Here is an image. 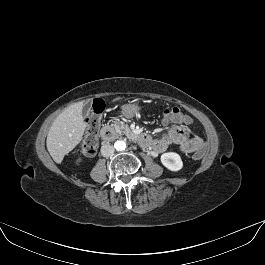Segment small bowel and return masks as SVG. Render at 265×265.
I'll use <instances>...</instances> for the list:
<instances>
[{"label":"small bowel","mask_w":265,"mask_h":265,"mask_svg":"<svg viewBox=\"0 0 265 265\" xmlns=\"http://www.w3.org/2000/svg\"><path fill=\"white\" fill-rule=\"evenodd\" d=\"M164 125L175 123L168 132L161 137L151 141V146L156 152L165 151L170 145L175 144L184 153H193L204 149V142L200 137H192L187 127L176 119L165 117L162 120Z\"/></svg>","instance_id":"c3829d8e"}]
</instances>
